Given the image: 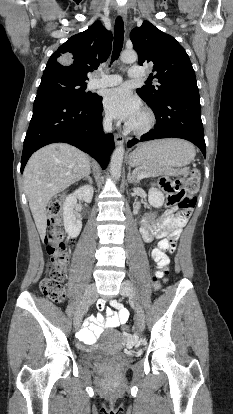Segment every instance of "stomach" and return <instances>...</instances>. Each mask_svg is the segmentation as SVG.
Wrapping results in <instances>:
<instances>
[{
  "mask_svg": "<svg viewBox=\"0 0 233 414\" xmlns=\"http://www.w3.org/2000/svg\"><path fill=\"white\" fill-rule=\"evenodd\" d=\"M194 157L195 149L189 142L163 139L139 145L130 153L128 163L167 173L188 165Z\"/></svg>",
  "mask_w": 233,
  "mask_h": 414,
  "instance_id": "stomach-1",
  "label": "stomach"
}]
</instances>
